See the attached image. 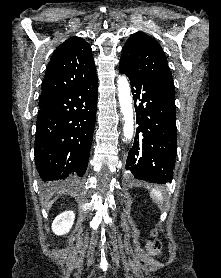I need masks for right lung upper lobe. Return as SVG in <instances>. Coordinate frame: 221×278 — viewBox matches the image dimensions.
<instances>
[{"label":"right lung upper lobe","mask_w":221,"mask_h":278,"mask_svg":"<svg viewBox=\"0 0 221 278\" xmlns=\"http://www.w3.org/2000/svg\"><path fill=\"white\" fill-rule=\"evenodd\" d=\"M97 76L90 45L71 37L54 52L42 84V94H50L82 84Z\"/></svg>","instance_id":"cb5924a9"}]
</instances>
